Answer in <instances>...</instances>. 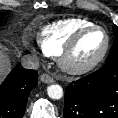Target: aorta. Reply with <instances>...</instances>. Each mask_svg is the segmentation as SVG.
Wrapping results in <instances>:
<instances>
[{
  "mask_svg": "<svg viewBox=\"0 0 118 118\" xmlns=\"http://www.w3.org/2000/svg\"><path fill=\"white\" fill-rule=\"evenodd\" d=\"M47 94L50 98L58 100L63 97V89L60 85L53 84V85L48 86Z\"/></svg>",
  "mask_w": 118,
  "mask_h": 118,
  "instance_id": "1",
  "label": "aorta"
}]
</instances>
